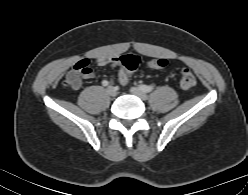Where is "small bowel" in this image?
Masks as SVG:
<instances>
[{"instance_id":"c3829d8e","label":"small bowel","mask_w":248,"mask_h":195,"mask_svg":"<svg viewBox=\"0 0 248 195\" xmlns=\"http://www.w3.org/2000/svg\"><path fill=\"white\" fill-rule=\"evenodd\" d=\"M95 63L99 66H113L119 67L118 79L122 85H126L129 82V75L120 64V57H103L98 56L94 59ZM86 73L83 75L84 78H92L95 75V71L87 66Z\"/></svg>"}]
</instances>
